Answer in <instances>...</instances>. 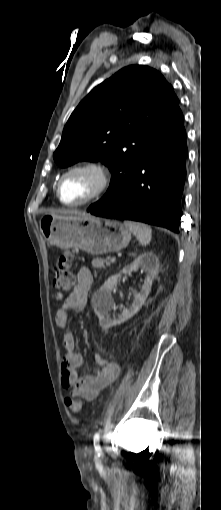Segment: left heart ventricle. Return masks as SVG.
Instances as JSON below:
<instances>
[{"instance_id":"obj_1","label":"left heart ventricle","mask_w":221,"mask_h":510,"mask_svg":"<svg viewBox=\"0 0 221 510\" xmlns=\"http://www.w3.org/2000/svg\"><path fill=\"white\" fill-rule=\"evenodd\" d=\"M95 183L96 179L91 173H73L62 184V198L69 203L81 201L93 191Z\"/></svg>"}]
</instances>
